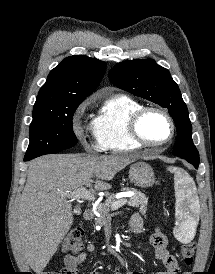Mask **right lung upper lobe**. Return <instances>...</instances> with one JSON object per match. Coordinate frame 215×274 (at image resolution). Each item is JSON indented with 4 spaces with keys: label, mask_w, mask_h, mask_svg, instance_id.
I'll return each instance as SVG.
<instances>
[{
    "label": "right lung upper lobe",
    "mask_w": 215,
    "mask_h": 274,
    "mask_svg": "<svg viewBox=\"0 0 215 274\" xmlns=\"http://www.w3.org/2000/svg\"><path fill=\"white\" fill-rule=\"evenodd\" d=\"M105 68L106 63L96 58L67 57L51 70L35 103H81L98 87Z\"/></svg>",
    "instance_id": "obj_1"
}]
</instances>
